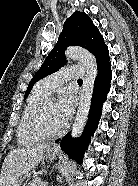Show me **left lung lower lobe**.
I'll return each instance as SVG.
<instances>
[{
    "label": "left lung lower lobe",
    "instance_id": "obj_1",
    "mask_svg": "<svg viewBox=\"0 0 138 186\" xmlns=\"http://www.w3.org/2000/svg\"><path fill=\"white\" fill-rule=\"evenodd\" d=\"M111 63L98 68V75L94 83V90L91 100V108L89 119L84 129V135L75 140H71V136L67 135L60 141V146L70 157L74 158L78 163H82V156L85 149L88 148L90 135H93L98 126V121L102 114V105L106 100L107 93L110 89V81L112 73L110 69ZM57 140L56 142H58Z\"/></svg>",
    "mask_w": 138,
    "mask_h": 186
}]
</instances>
